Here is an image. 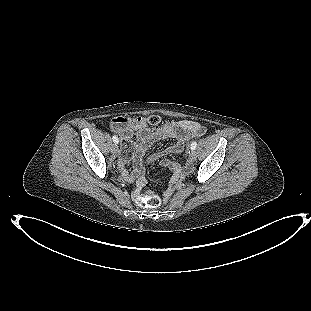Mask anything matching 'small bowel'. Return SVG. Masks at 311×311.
Returning a JSON list of instances; mask_svg holds the SVG:
<instances>
[{
    "label": "small bowel",
    "instance_id": "obj_1",
    "mask_svg": "<svg viewBox=\"0 0 311 311\" xmlns=\"http://www.w3.org/2000/svg\"><path fill=\"white\" fill-rule=\"evenodd\" d=\"M110 127L112 131L120 135L122 140V151L120 153L121 174L124 178L135 183L136 188L133 191V197H138L142 186L145 184L143 156L154 142L165 139L176 140L174 144L151 154L146 161L148 164L182 152L190 139L203 132L201 125L192 120L168 122L157 128H148L142 117L132 118L126 116L113 118ZM135 133L137 134V141H133ZM130 158L133 160L132 175H129L124 169L125 163ZM163 164L169 167L176 176L183 171V168L174 161L164 160Z\"/></svg>",
    "mask_w": 311,
    "mask_h": 311
}]
</instances>
